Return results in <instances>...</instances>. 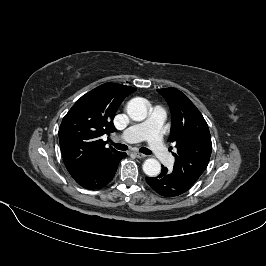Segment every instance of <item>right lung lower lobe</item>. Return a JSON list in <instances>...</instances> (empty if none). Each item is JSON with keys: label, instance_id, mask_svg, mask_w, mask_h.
I'll return each instance as SVG.
<instances>
[{"label": "right lung lower lobe", "instance_id": "obj_1", "mask_svg": "<svg viewBox=\"0 0 266 266\" xmlns=\"http://www.w3.org/2000/svg\"><path fill=\"white\" fill-rule=\"evenodd\" d=\"M126 156L124 152H117L75 181L85 189H100L113 179L120 160Z\"/></svg>", "mask_w": 266, "mask_h": 266}]
</instances>
